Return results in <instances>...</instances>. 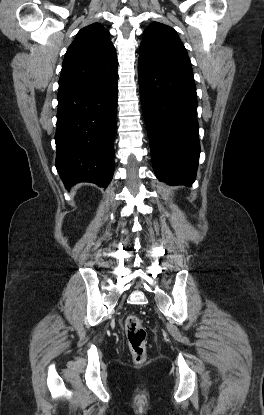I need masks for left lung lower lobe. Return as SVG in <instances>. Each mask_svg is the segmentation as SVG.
I'll use <instances>...</instances> for the list:
<instances>
[{
	"label": "left lung lower lobe",
	"mask_w": 264,
	"mask_h": 415,
	"mask_svg": "<svg viewBox=\"0 0 264 415\" xmlns=\"http://www.w3.org/2000/svg\"><path fill=\"white\" fill-rule=\"evenodd\" d=\"M141 105L157 178L191 186L200 155L193 74L138 60Z\"/></svg>",
	"instance_id": "1"
}]
</instances>
